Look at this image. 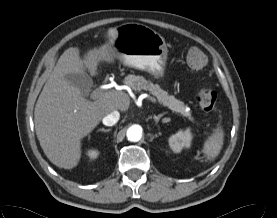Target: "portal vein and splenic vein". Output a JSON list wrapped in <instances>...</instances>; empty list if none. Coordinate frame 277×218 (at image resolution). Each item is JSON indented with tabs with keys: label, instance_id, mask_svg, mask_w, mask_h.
<instances>
[{
	"label": "portal vein and splenic vein",
	"instance_id": "18ae733b",
	"mask_svg": "<svg viewBox=\"0 0 277 218\" xmlns=\"http://www.w3.org/2000/svg\"><path fill=\"white\" fill-rule=\"evenodd\" d=\"M106 89V87H103L101 89L95 90L91 93V99L95 100L97 98L100 97V95L102 94L103 90ZM145 98H148L151 102L153 103H157L156 99L153 98L152 96H150L149 94H144Z\"/></svg>",
	"mask_w": 277,
	"mask_h": 218
}]
</instances>
